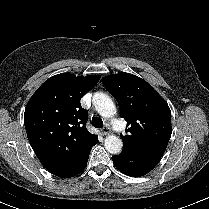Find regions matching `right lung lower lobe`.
I'll list each match as a JSON object with an SVG mask.
<instances>
[{
    "mask_svg": "<svg viewBox=\"0 0 209 209\" xmlns=\"http://www.w3.org/2000/svg\"><path fill=\"white\" fill-rule=\"evenodd\" d=\"M97 142H98V139L86 150V152L84 154H82L81 158L76 162V164L60 177L70 178V177H73V176L81 173L87 165V161H88V157H89V153H90L91 148L95 144H97Z\"/></svg>",
    "mask_w": 209,
    "mask_h": 209,
    "instance_id": "98d812e1",
    "label": "right lung lower lobe"
}]
</instances>
